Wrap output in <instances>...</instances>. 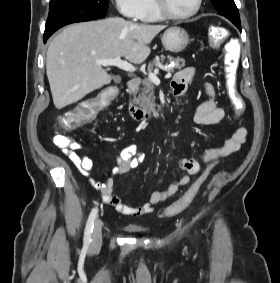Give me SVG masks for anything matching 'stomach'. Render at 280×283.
Masks as SVG:
<instances>
[{"mask_svg": "<svg viewBox=\"0 0 280 283\" xmlns=\"http://www.w3.org/2000/svg\"><path fill=\"white\" fill-rule=\"evenodd\" d=\"M162 44L167 51L179 53L189 44V35L186 30L181 27H170L162 36Z\"/></svg>", "mask_w": 280, "mask_h": 283, "instance_id": "1", "label": "stomach"}]
</instances>
